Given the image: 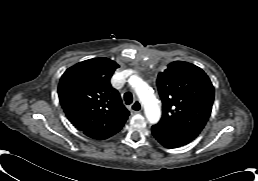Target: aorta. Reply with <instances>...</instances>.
I'll return each mask as SVG.
<instances>
[{
	"label": "aorta",
	"mask_w": 258,
	"mask_h": 181,
	"mask_svg": "<svg viewBox=\"0 0 258 181\" xmlns=\"http://www.w3.org/2000/svg\"><path fill=\"white\" fill-rule=\"evenodd\" d=\"M131 85L144 106L147 120L151 124L157 123L161 117V111L152 89L137 76L132 77Z\"/></svg>",
	"instance_id": "762f6f07"
}]
</instances>
